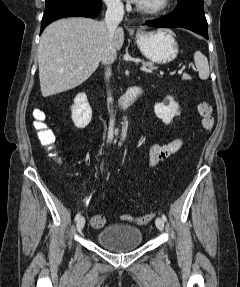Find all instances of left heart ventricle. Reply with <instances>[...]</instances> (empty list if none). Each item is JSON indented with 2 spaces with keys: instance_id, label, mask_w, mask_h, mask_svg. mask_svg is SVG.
<instances>
[{
  "instance_id": "1",
  "label": "left heart ventricle",
  "mask_w": 240,
  "mask_h": 287,
  "mask_svg": "<svg viewBox=\"0 0 240 287\" xmlns=\"http://www.w3.org/2000/svg\"><path fill=\"white\" fill-rule=\"evenodd\" d=\"M160 0H139V3L146 5V6H154L156 5Z\"/></svg>"
}]
</instances>
